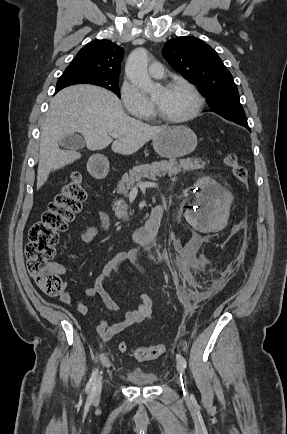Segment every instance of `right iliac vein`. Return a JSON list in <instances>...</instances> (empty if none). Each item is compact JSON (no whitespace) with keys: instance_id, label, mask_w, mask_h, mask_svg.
I'll list each match as a JSON object with an SVG mask.
<instances>
[{"instance_id":"63e3f726","label":"right iliac vein","mask_w":287,"mask_h":434,"mask_svg":"<svg viewBox=\"0 0 287 434\" xmlns=\"http://www.w3.org/2000/svg\"><path fill=\"white\" fill-rule=\"evenodd\" d=\"M101 390H102V377H100L95 384L94 393H93V397L95 399L100 396Z\"/></svg>"}]
</instances>
